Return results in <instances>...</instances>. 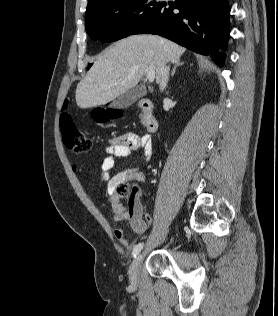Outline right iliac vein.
Returning <instances> with one entry per match:
<instances>
[{
    "instance_id": "obj_1",
    "label": "right iliac vein",
    "mask_w": 278,
    "mask_h": 316,
    "mask_svg": "<svg viewBox=\"0 0 278 316\" xmlns=\"http://www.w3.org/2000/svg\"><path fill=\"white\" fill-rule=\"evenodd\" d=\"M144 257V252L139 253L133 260L129 269V278L132 284H137L139 280L140 266Z\"/></svg>"
}]
</instances>
